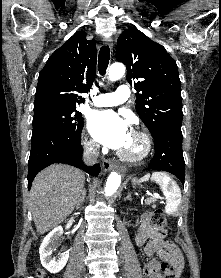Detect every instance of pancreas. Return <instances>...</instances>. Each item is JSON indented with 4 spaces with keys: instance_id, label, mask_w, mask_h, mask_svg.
<instances>
[{
    "instance_id": "cf45deb5",
    "label": "pancreas",
    "mask_w": 221,
    "mask_h": 278,
    "mask_svg": "<svg viewBox=\"0 0 221 278\" xmlns=\"http://www.w3.org/2000/svg\"><path fill=\"white\" fill-rule=\"evenodd\" d=\"M152 202H153L152 199H149V200L145 201V203H146L147 205H150Z\"/></svg>"
}]
</instances>
